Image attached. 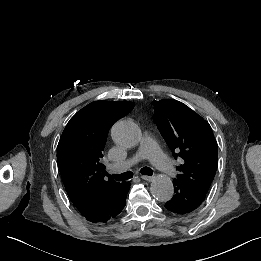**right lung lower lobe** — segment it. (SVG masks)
<instances>
[{
	"instance_id": "1",
	"label": "right lung lower lobe",
	"mask_w": 261,
	"mask_h": 261,
	"mask_svg": "<svg viewBox=\"0 0 261 261\" xmlns=\"http://www.w3.org/2000/svg\"><path fill=\"white\" fill-rule=\"evenodd\" d=\"M129 182H123L117 187L95 197L81 214L90 222H107L117 216L126 204Z\"/></svg>"
}]
</instances>
